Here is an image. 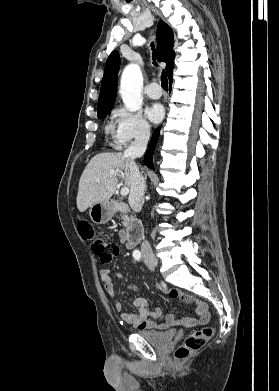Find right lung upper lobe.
Returning a JSON list of instances; mask_svg holds the SVG:
<instances>
[{
	"mask_svg": "<svg viewBox=\"0 0 279 391\" xmlns=\"http://www.w3.org/2000/svg\"><path fill=\"white\" fill-rule=\"evenodd\" d=\"M174 35L172 29L163 21L157 27V59L166 62V71L172 79L175 53L173 51ZM120 57L117 51L112 52L105 65V71L98 99V112L109 109L116 98L117 75Z\"/></svg>",
	"mask_w": 279,
	"mask_h": 391,
	"instance_id": "right-lung-upper-lobe-1",
	"label": "right lung upper lobe"
}]
</instances>
